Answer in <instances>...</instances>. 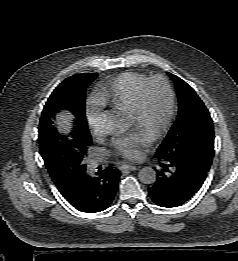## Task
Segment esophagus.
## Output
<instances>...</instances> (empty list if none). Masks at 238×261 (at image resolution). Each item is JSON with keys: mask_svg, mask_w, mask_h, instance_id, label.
<instances>
[{"mask_svg": "<svg viewBox=\"0 0 238 261\" xmlns=\"http://www.w3.org/2000/svg\"><path fill=\"white\" fill-rule=\"evenodd\" d=\"M121 170H131V171H134V170H137V167L136 166H133V165H129V164H123L121 167H120Z\"/></svg>", "mask_w": 238, "mask_h": 261, "instance_id": "obj_1", "label": "esophagus"}]
</instances>
